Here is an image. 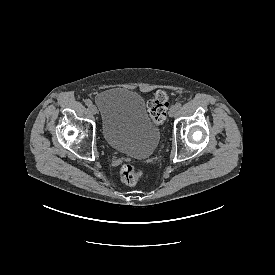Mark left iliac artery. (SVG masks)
Here are the masks:
<instances>
[{
    "instance_id": "obj_1",
    "label": "left iliac artery",
    "mask_w": 275,
    "mask_h": 275,
    "mask_svg": "<svg viewBox=\"0 0 275 275\" xmlns=\"http://www.w3.org/2000/svg\"><path fill=\"white\" fill-rule=\"evenodd\" d=\"M175 107H176L177 109H179V108L181 107V103H180V102H177V103L175 104Z\"/></svg>"
}]
</instances>
